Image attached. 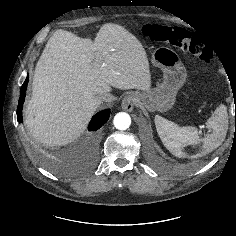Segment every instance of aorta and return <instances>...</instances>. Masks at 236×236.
<instances>
[{"label": "aorta", "mask_w": 236, "mask_h": 236, "mask_svg": "<svg viewBox=\"0 0 236 236\" xmlns=\"http://www.w3.org/2000/svg\"><path fill=\"white\" fill-rule=\"evenodd\" d=\"M114 126L118 130H126L131 125V118L125 112H119L115 115L113 120Z\"/></svg>", "instance_id": "obj_1"}]
</instances>
